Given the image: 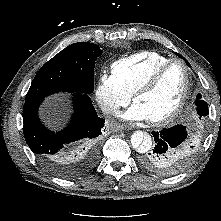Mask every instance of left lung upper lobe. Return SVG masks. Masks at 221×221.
Returning a JSON list of instances; mask_svg holds the SVG:
<instances>
[{
    "mask_svg": "<svg viewBox=\"0 0 221 221\" xmlns=\"http://www.w3.org/2000/svg\"><path fill=\"white\" fill-rule=\"evenodd\" d=\"M193 106L200 120L201 118H204L206 115H208V106L207 103L204 100H202L201 94L197 95Z\"/></svg>",
    "mask_w": 221,
    "mask_h": 221,
    "instance_id": "5c2ea615",
    "label": "left lung upper lobe"
}]
</instances>
